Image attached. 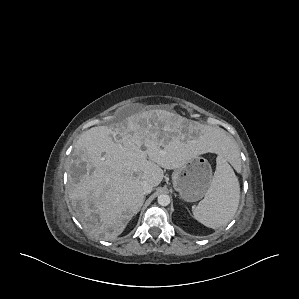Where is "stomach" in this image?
Segmentation results:
<instances>
[{
	"label": "stomach",
	"instance_id": "1",
	"mask_svg": "<svg viewBox=\"0 0 299 299\" xmlns=\"http://www.w3.org/2000/svg\"><path fill=\"white\" fill-rule=\"evenodd\" d=\"M213 180L212 168L203 157H196L172 174L174 189L186 202L202 199L208 192Z\"/></svg>",
	"mask_w": 299,
	"mask_h": 299
}]
</instances>
